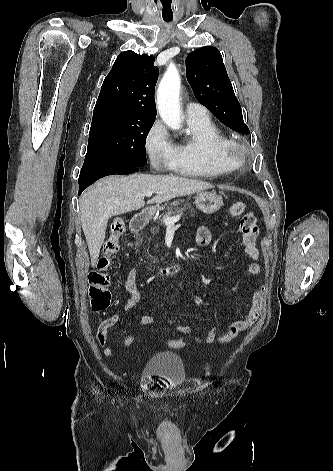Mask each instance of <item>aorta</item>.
<instances>
[{"label": "aorta", "instance_id": "762f6f07", "mask_svg": "<svg viewBox=\"0 0 333 471\" xmlns=\"http://www.w3.org/2000/svg\"><path fill=\"white\" fill-rule=\"evenodd\" d=\"M180 75L175 67L165 72L157 90V105L164 123L172 130L181 128L179 104Z\"/></svg>", "mask_w": 333, "mask_h": 471}]
</instances>
